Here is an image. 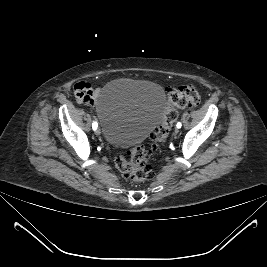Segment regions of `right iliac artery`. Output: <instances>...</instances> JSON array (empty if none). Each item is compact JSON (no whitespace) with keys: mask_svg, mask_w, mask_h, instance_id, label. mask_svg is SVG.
<instances>
[{"mask_svg":"<svg viewBox=\"0 0 267 267\" xmlns=\"http://www.w3.org/2000/svg\"><path fill=\"white\" fill-rule=\"evenodd\" d=\"M97 126H98L97 123L94 122L93 125H92L93 130H96L97 129Z\"/></svg>","mask_w":267,"mask_h":267,"instance_id":"right-iliac-artery-1","label":"right iliac artery"}]
</instances>
